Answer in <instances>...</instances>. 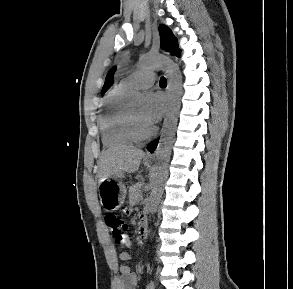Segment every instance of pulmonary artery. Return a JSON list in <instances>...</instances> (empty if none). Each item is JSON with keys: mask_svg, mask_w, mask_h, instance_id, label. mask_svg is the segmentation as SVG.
Returning a JSON list of instances; mask_svg holds the SVG:
<instances>
[{"mask_svg": "<svg viewBox=\"0 0 293 289\" xmlns=\"http://www.w3.org/2000/svg\"><path fill=\"white\" fill-rule=\"evenodd\" d=\"M156 80L155 74L152 70H141L134 72L128 77L124 78L121 85L126 89H142L148 88L154 84Z\"/></svg>", "mask_w": 293, "mask_h": 289, "instance_id": "obj_1", "label": "pulmonary artery"}]
</instances>
